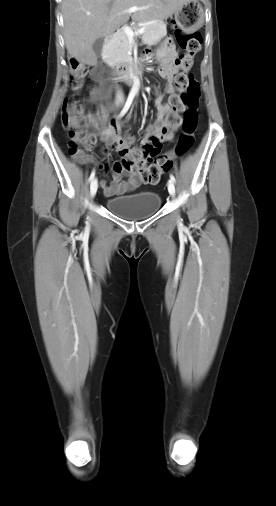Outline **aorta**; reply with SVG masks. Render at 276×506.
Wrapping results in <instances>:
<instances>
[{"instance_id": "aorta-1", "label": "aorta", "mask_w": 276, "mask_h": 506, "mask_svg": "<svg viewBox=\"0 0 276 506\" xmlns=\"http://www.w3.org/2000/svg\"><path fill=\"white\" fill-rule=\"evenodd\" d=\"M139 84H140V81H139L138 78H136L135 81H134V83H133V86H132L130 94L135 95V94L138 93V91H139Z\"/></svg>"}]
</instances>
